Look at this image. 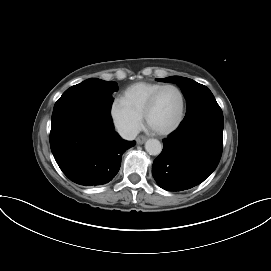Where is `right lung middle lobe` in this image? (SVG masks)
I'll list each match as a JSON object with an SVG mask.
<instances>
[{"label":"right lung middle lobe","mask_w":271,"mask_h":271,"mask_svg":"<svg viewBox=\"0 0 271 271\" xmlns=\"http://www.w3.org/2000/svg\"><path fill=\"white\" fill-rule=\"evenodd\" d=\"M118 90L117 83L100 79H88L67 89L55 103L53 113L71 107L104 104L111 108L113 92Z\"/></svg>","instance_id":"1"}]
</instances>
